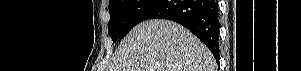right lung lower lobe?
<instances>
[{"instance_id": "1", "label": "right lung lower lobe", "mask_w": 301, "mask_h": 71, "mask_svg": "<svg viewBox=\"0 0 301 71\" xmlns=\"http://www.w3.org/2000/svg\"><path fill=\"white\" fill-rule=\"evenodd\" d=\"M175 21L195 34L212 52L219 56V8L217 0H156L140 17Z\"/></svg>"}]
</instances>
